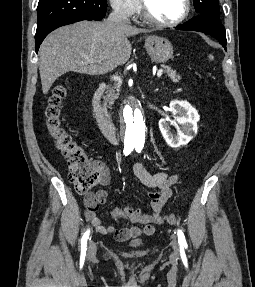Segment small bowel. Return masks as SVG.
<instances>
[{"mask_svg": "<svg viewBox=\"0 0 255 287\" xmlns=\"http://www.w3.org/2000/svg\"><path fill=\"white\" fill-rule=\"evenodd\" d=\"M133 172L142 185L154 189L148 193L151 213H144L139 208L129 206L123 209H113L112 215L117 221L141 225V227L116 228L105 223L96 215L98 206L107 201V192L100 189L95 193H89L84 198L85 218L98 233L103 235L112 234L118 240H127L141 234L151 235L155 226L163 222L161 213L165 203L172 195V186L177 182L178 176L165 171L151 173L141 163L134 165ZM108 182L109 175L104 170L101 183L106 185Z\"/></svg>", "mask_w": 255, "mask_h": 287, "instance_id": "obj_1", "label": "small bowel"}]
</instances>
